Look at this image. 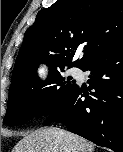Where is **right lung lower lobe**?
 <instances>
[{
	"instance_id": "98d812e1",
	"label": "right lung lower lobe",
	"mask_w": 123,
	"mask_h": 152,
	"mask_svg": "<svg viewBox=\"0 0 123 152\" xmlns=\"http://www.w3.org/2000/svg\"><path fill=\"white\" fill-rule=\"evenodd\" d=\"M82 70L91 71L90 96L77 86L43 124L63 123L70 132L123 152V40L98 53Z\"/></svg>"
}]
</instances>
